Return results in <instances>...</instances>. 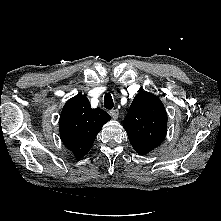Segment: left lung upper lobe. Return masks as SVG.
<instances>
[{
  "label": "left lung upper lobe",
  "mask_w": 221,
  "mask_h": 221,
  "mask_svg": "<svg viewBox=\"0 0 221 221\" xmlns=\"http://www.w3.org/2000/svg\"><path fill=\"white\" fill-rule=\"evenodd\" d=\"M133 148L145 155L159 146L166 135L167 114L162 102L153 94L139 92L123 121Z\"/></svg>",
  "instance_id": "left-lung-upper-lobe-1"
}]
</instances>
